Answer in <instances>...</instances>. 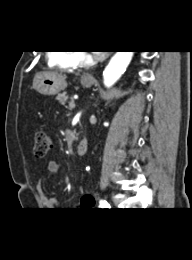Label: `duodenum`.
I'll use <instances>...</instances> for the list:
<instances>
[{
  "mask_svg": "<svg viewBox=\"0 0 192 260\" xmlns=\"http://www.w3.org/2000/svg\"><path fill=\"white\" fill-rule=\"evenodd\" d=\"M88 151V141L87 139H82L76 148V154L78 156H84Z\"/></svg>",
  "mask_w": 192,
  "mask_h": 260,
  "instance_id": "1",
  "label": "duodenum"
}]
</instances>
